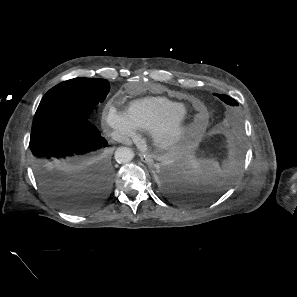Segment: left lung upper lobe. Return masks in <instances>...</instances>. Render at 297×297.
Segmentation results:
<instances>
[{"mask_svg": "<svg viewBox=\"0 0 297 297\" xmlns=\"http://www.w3.org/2000/svg\"><path fill=\"white\" fill-rule=\"evenodd\" d=\"M214 95L218 96L222 101H224L226 104L230 106H238L237 101L227 95H223V94L222 95L214 94Z\"/></svg>", "mask_w": 297, "mask_h": 297, "instance_id": "5c2ea615", "label": "left lung upper lobe"}]
</instances>
